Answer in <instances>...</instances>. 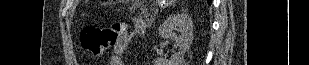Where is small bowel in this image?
Masks as SVG:
<instances>
[{
    "instance_id": "obj_1",
    "label": "small bowel",
    "mask_w": 309,
    "mask_h": 65,
    "mask_svg": "<svg viewBox=\"0 0 309 65\" xmlns=\"http://www.w3.org/2000/svg\"><path fill=\"white\" fill-rule=\"evenodd\" d=\"M145 29L146 24L144 19L140 17L135 18L133 22V29L124 33L114 45L113 54L110 58V65H124L122 57L129 44L135 37L141 36L145 32Z\"/></svg>"
}]
</instances>
